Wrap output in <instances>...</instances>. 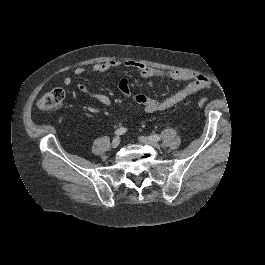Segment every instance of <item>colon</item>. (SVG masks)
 I'll return each mask as SVG.
<instances>
[{
    "instance_id": "5ec220e1",
    "label": "colon",
    "mask_w": 265,
    "mask_h": 265,
    "mask_svg": "<svg viewBox=\"0 0 265 265\" xmlns=\"http://www.w3.org/2000/svg\"><path fill=\"white\" fill-rule=\"evenodd\" d=\"M65 99V92L61 88H55L45 93L37 102L38 107L41 110H57L63 106ZM206 103V99H200L197 102L198 107H203Z\"/></svg>"
}]
</instances>
